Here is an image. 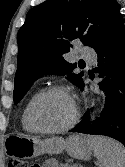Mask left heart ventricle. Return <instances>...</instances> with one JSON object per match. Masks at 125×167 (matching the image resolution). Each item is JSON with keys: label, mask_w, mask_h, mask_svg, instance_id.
Masks as SVG:
<instances>
[{"label": "left heart ventricle", "mask_w": 125, "mask_h": 167, "mask_svg": "<svg viewBox=\"0 0 125 167\" xmlns=\"http://www.w3.org/2000/svg\"><path fill=\"white\" fill-rule=\"evenodd\" d=\"M72 115L73 105L70 98L60 92L45 96L34 110L35 123L45 129L65 125L72 118Z\"/></svg>", "instance_id": "b2bd125f"}]
</instances>
